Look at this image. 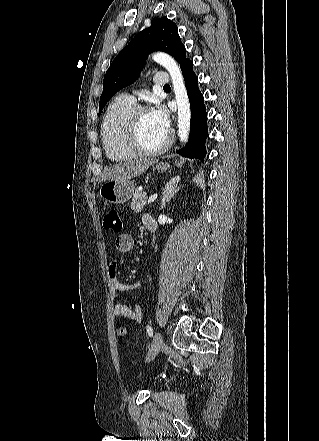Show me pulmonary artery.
Returning <instances> with one entry per match:
<instances>
[{"instance_id":"pulmonary-artery-1","label":"pulmonary artery","mask_w":319,"mask_h":441,"mask_svg":"<svg viewBox=\"0 0 319 441\" xmlns=\"http://www.w3.org/2000/svg\"><path fill=\"white\" fill-rule=\"evenodd\" d=\"M169 82V76L166 72H159L153 78V83L155 86L164 87ZM127 99L135 102V98L132 95H124Z\"/></svg>"}]
</instances>
